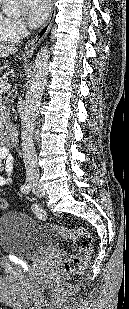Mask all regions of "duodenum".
<instances>
[{"mask_svg": "<svg viewBox=\"0 0 129 309\" xmlns=\"http://www.w3.org/2000/svg\"><path fill=\"white\" fill-rule=\"evenodd\" d=\"M18 131L13 125L7 126L3 133V141L7 147H12L17 142Z\"/></svg>", "mask_w": 129, "mask_h": 309, "instance_id": "duodenum-1", "label": "duodenum"}]
</instances>
